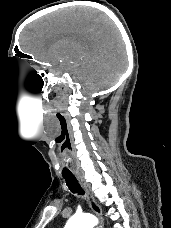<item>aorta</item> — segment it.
Masks as SVG:
<instances>
[{
    "label": "aorta",
    "mask_w": 171,
    "mask_h": 228,
    "mask_svg": "<svg viewBox=\"0 0 171 228\" xmlns=\"http://www.w3.org/2000/svg\"><path fill=\"white\" fill-rule=\"evenodd\" d=\"M97 219L90 214L72 216L66 223L65 228H93Z\"/></svg>",
    "instance_id": "obj_1"
}]
</instances>
